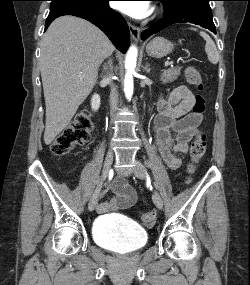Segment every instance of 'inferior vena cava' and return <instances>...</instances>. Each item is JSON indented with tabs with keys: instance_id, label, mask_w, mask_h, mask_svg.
I'll list each match as a JSON object with an SVG mask.
<instances>
[{
	"instance_id": "obj_1",
	"label": "inferior vena cava",
	"mask_w": 250,
	"mask_h": 285,
	"mask_svg": "<svg viewBox=\"0 0 250 285\" xmlns=\"http://www.w3.org/2000/svg\"><path fill=\"white\" fill-rule=\"evenodd\" d=\"M104 79L111 85L110 107L113 113L117 109L118 93H117L116 87L112 84L111 74L107 75Z\"/></svg>"
}]
</instances>
